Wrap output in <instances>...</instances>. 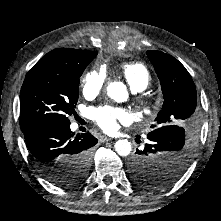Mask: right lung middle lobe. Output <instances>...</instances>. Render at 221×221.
Here are the masks:
<instances>
[{"mask_svg": "<svg viewBox=\"0 0 221 221\" xmlns=\"http://www.w3.org/2000/svg\"><path fill=\"white\" fill-rule=\"evenodd\" d=\"M96 54L72 64H57L30 70L20 92L21 130L44 121L70 122L78 101L80 76ZM90 153L65 161L64 165L51 168L49 181L70 186L82 181L88 172Z\"/></svg>", "mask_w": 221, "mask_h": 221, "instance_id": "dd1d6c3e", "label": "right lung middle lobe"}]
</instances>
